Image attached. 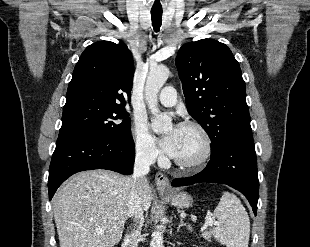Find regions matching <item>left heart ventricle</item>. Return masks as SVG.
Returning a JSON list of instances; mask_svg holds the SVG:
<instances>
[{"mask_svg": "<svg viewBox=\"0 0 310 247\" xmlns=\"http://www.w3.org/2000/svg\"><path fill=\"white\" fill-rule=\"evenodd\" d=\"M203 138L193 128L178 127L176 153L174 158L181 161H193L203 153Z\"/></svg>", "mask_w": 310, "mask_h": 247, "instance_id": "obj_1", "label": "left heart ventricle"}]
</instances>
